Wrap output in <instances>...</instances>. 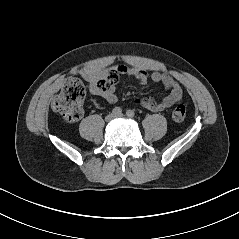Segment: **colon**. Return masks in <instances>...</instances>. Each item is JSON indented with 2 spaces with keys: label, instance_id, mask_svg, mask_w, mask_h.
Listing matches in <instances>:
<instances>
[{
  "label": "colon",
  "instance_id": "colon-1",
  "mask_svg": "<svg viewBox=\"0 0 239 239\" xmlns=\"http://www.w3.org/2000/svg\"><path fill=\"white\" fill-rule=\"evenodd\" d=\"M108 80H99L97 86L103 89ZM87 95L85 84L78 78H69L65 81L61 93L55 98L52 109L61 115L67 123L78 121L83 114V102ZM186 117V107L183 104L177 105L172 118L176 122L184 121Z\"/></svg>",
  "mask_w": 239,
  "mask_h": 239
}]
</instances>
